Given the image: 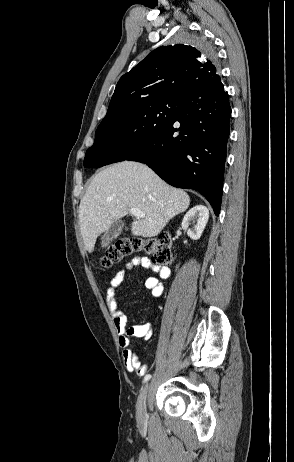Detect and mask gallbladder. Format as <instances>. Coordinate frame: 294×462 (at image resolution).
<instances>
[{
	"mask_svg": "<svg viewBox=\"0 0 294 462\" xmlns=\"http://www.w3.org/2000/svg\"><path fill=\"white\" fill-rule=\"evenodd\" d=\"M123 226H124L123 221L115 220L112 223L109 230L106 231L101 237V245H102V247L108 246L113 239L117 238V236L120 234Z\"/></svg>",
	"mask_w": 294,
	"mask_h": 462,
	"instance_id": "obj_1",
	"label": "gallbladder"
}]
</instances>
